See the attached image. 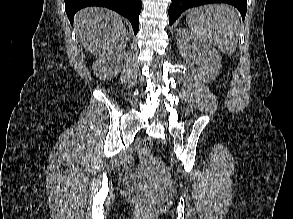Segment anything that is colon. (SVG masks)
<instances>
[{
  "instance_id": "5ec220e1",
  "label": "colon",
  "mask_w": 293,
  "mask_h": 219,
  "mask_svg": "<svg viewBox=\"0 0 293 219\" xmlns=\"http://www.w3.org/2000/svg\"><path fill=\"white\" fill-rule=\"evenodd\" d=\"M153 142L150 138H144L138 145V152L143 157H148L151 153ZM135 200L141 204L145 209L152 211L154 209V202L151 195L143 190L135 192Z\"/></svg>"
}]
</instances>
